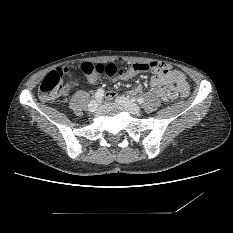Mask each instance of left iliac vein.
Segmentation results:
<instances>
[{"instance_id": "obj_1", "label": "left iliac vein", "mask_w": 233, "mask_h": 233, "mask_svg": "<svg viewBox=\"0 0 233 233\" xmlns=\"http://www.w3.org/2000/svg\"><path fill=\"white\" fill-rule=\"evenodd\" d=\"M116 102L124 107L131 114H138L141 110L137 104L131 102L128 98L124 96H118L116 98Z\"/></svg>"}]
</instances>
